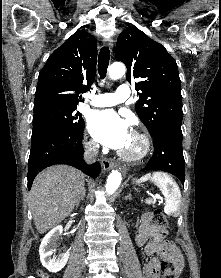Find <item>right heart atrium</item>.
Returning <instances> with one entry per match:
<instances>
[{"instance_id": "obj_1", "label": "right heart atrium", "mask_w": 221, "mask_h": 278, "mask_svg": "<svg viewBox=\"0 0 221 278\" xmlns=\"http://www.w3.org/2000/svg\"><path fill=\"white\" fill-rule=\"evenodd\" d=\"M86 148L88 151H94L96 149V144L94 141L90 140L86 142Z\"/></svg>"}]
</instances>
